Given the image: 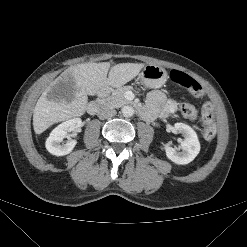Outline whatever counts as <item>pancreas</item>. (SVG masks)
Returning a JSON list of instances; mask_svg holds the SVG:
<instances>
[{"mask_svg":"<svg viewBox=\"0 0 247 247\" xmlns=\"http://www.w3.org/2000/svg\"><path fill=\"white\" fill-rule=\"evenodd\" d=\"M133 90L131 86H124L112 91V94L107 98L101 100V103L108 108H120L123 105L131 103V101L125 98V92Z\"/></svg>","mask_w":247,"mask_h":247,"instance_id":"cf45deb5","label":"pancreas"}]
</instances>
